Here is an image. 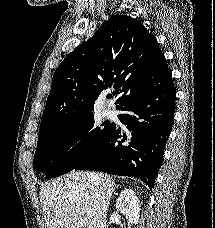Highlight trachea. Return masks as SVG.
Listing matches in <instances>:
<instances>
[{"label": "trachea", "instance_id": "obj_1", "mask_svg": "<svg viewBox=\"0 0 215 228\" xmlns=\"http://www.w3.org/2000/svg\"><path fill=\"white\" fill-rule=\"evenodd\" d=\"M108 97H109V98H111V97H112V95H109Z\"/></svg>", "mask_w": 215, "mask_h": 228}]
</instances>
